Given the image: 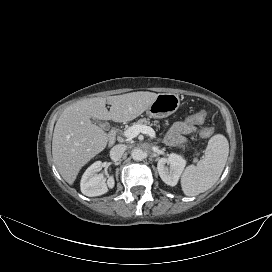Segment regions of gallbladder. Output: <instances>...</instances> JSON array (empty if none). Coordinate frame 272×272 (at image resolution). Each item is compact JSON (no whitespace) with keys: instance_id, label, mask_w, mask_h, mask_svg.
<instances>
[{"instance_id":"bac80fb5","label":"gallbladder","mask_w":272,"mask_h":272,"mask_svg":"<svg viewBox=\"0 0 272 272\" xmlns=\"http://www.w3.org/2000/svg\"><path fill=\"white\" fill-rule=\"evenodd\" d=\"M91 121L96 124L97 126H99L100 128H102L103 130L107 131L110 128V125L108 122L102 121V120H98V119H94L92 118Z\"/></svg>"}]
</instances>
